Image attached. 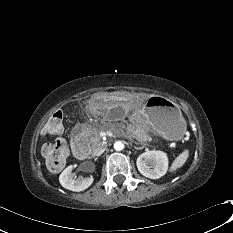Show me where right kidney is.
<instances>
[{
  "mask_svg": "<svg viewBox=\"0 0 233 233\" xmlns=\"http://www.w3.org/2000/svg\"><path fill=\"white\" fill-rule=\"evenodd\" d=\"M73 166H68L59 176L60 184L71 191L80 192L87 189L94 181L93 177H78L74 179L72 174Z\"/></svg>",
  "mask_w": 233,
  "mask_h": 233,
  "instance_id": "ca27d5eb",
  "label": "right kidney"
}]
</instances>
